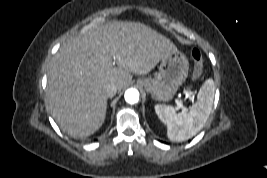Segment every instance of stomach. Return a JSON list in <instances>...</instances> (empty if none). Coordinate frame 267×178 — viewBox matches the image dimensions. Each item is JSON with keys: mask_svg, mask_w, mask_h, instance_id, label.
Wrapping results in <instances>:
<instances>
[{"mask_svg": "<svg viewBox=\"0 0 267 178\" xmlns=\"http://www.w3.org/2000/svg\"><path fill=\"white\" fill-rule=\"evenodd\" d=\"M189 62L187 57L178 50L166 53L162 58L158 71L153 78H141L137 83L158 101L173 98L179 86L188 76Z\"/></svg>", "mask_w": 267, "mask_h": 178, "instance_id": "obj_1", "label": "stomach"}]
</instances>
